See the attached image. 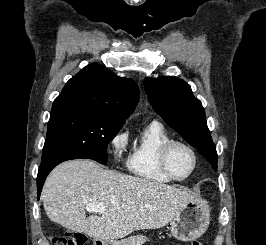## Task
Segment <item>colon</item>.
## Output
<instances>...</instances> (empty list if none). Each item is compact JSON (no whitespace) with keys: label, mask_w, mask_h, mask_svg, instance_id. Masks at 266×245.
I'll list each match as a JSON object with an SVG mask.
<instances>
[{"label":"colon","mask_w":266,"mask_h":245,"mask_svg":"<svg viewBox=\"0 0 266 245\" xmlns=\"http://www.w3.org/2000/svg\"><path fill=\"white\" fill-rule=\"evenodd\" d=\"M85 238L81 233L66 232L64 236H52L51 245H84ZM192 245H200L197 240L192 242Z\"/></svg>","instance_id":"1"}]
</instances>
